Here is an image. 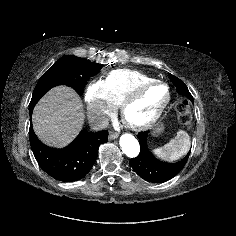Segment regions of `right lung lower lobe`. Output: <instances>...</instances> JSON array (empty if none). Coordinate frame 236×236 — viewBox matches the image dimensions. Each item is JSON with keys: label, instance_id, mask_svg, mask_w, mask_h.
<instances>
[{"label": "right lung lower lobe", "instance_id": "98d812e1", "mask_svg": "<svg viewBox=\"0 0 236 236\" xmlns=\"http://www.w3.org/2000/svg\"><path fill=\"white\" fill-rule=\"evenodd\" d=\"M29 107V139L33 154L48 175L62 182L82 179L92 168L98 155L99 145L108 141V132L82 131L66 148H51L39 141L32 128V111Z\"/></svg>", "mask_w": 236, "mask_h": 236}]
</instances>
